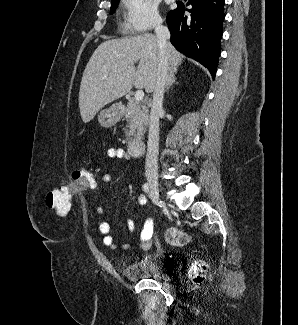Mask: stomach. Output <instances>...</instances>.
<instances>
[{
  "label": "stomach",
  "instance_id": "0dacf381",
  "mask_svg": "<svg viewBox=\"0 0 298 325\" xmlns=\"http://www.w3.org/2000/svg\"><path fill=\"white\" fill-rule=\"evenodd\" d=\"M121 118L120 108L118 106H110V108H104L100 110L98 114V120L101 126H114Z\"/></svg>",
  "mask_w": 298,
  "mask_h": 325
}]
</instances>
